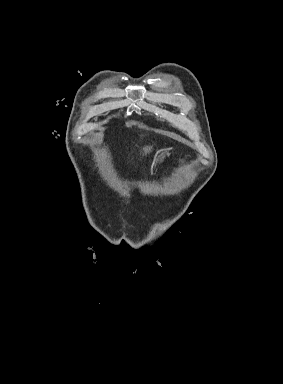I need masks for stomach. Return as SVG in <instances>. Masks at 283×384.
I'll use <instances>...</instances> for the list:
<instances>
[{
	"label": "stomach",
	"mask_w": 283,
	"mask_h": 384,
	"mask_svg": "<svg viewBox=\"0 0 283 384\" xmlns=\"http://www.w3.org/2000/svg\"><path fill=\"white\" fill-rule=\"evenodd\" d=\"M166 156H168V152L167 150H159V152H157L156 154V162H163V160H165Z\"/></svg>",
	"instance_id": "stomach-1"
}]
</instances>
